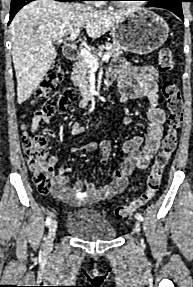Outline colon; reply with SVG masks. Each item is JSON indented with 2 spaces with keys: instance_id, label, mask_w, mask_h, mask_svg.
<instances>
[{
  "instance_id": "1",
  "label": "colon",
  "mask_w": 193,
  "mask_h": 287,
  "mask_svg": "<svg viewBox=\"0 0 193 287\" xmlns=\"http://www.w3.org/2000/svg\"><path fill=\"white\" fill-rule=\"evenodd\" d=\"M156 61L159 70L162 72H168L173 67L172 53L166 47L158 51ZM63 77L64 72L60 62H53L37 90V95L44 97L46 103L36 115L49 117L55 110H64L79 99V92L75 88H68L58 95L50 94L51 90ZM162 93L168 109L167 132L162 139L160 150L147 176L145 190L129 204L117 206L115 209L117 218L129 217L154 197L160 187L162 175L170 156L176 149L178 131L183 121L181 92L175 82L167 81L163 84ZM22 144L34 185L40 193H48L52 188L53 166L48 158L46 138L42 135H25ZM80 196L82 197L83 194H80Z\"/></svg>"
}]
</instances>
